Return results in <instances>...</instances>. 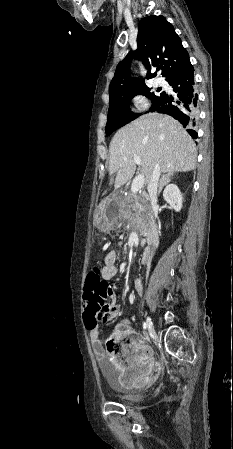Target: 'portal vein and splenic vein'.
<instances>
[{"instance_id":"18ae733b","label":"portal vein and splenic vein","mask_w":233,"mask_h":449,"mask_svg":"<svg viewBox=\"0 0 233 449\" xmlns=\"http://www.w3.org/2000/svg\"><path fill=\"white\" fill-rule=\"evenodd\" d=\"M133 160L137 165L142 164L141 158L139 156H134ZM143 184H144V175L142 174L137 175L132 182L131 192L133 194H137V192L143 187Z\"/></svg>"}]
</instances>
